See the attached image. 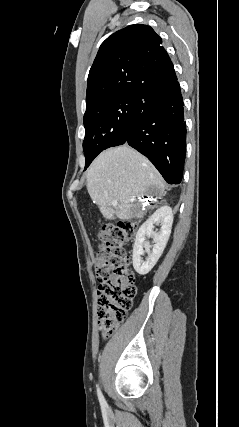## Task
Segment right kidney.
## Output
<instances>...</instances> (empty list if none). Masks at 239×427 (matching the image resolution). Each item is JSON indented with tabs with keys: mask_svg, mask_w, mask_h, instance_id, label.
Segmentation results:
<instances>
[{
	"mask_svg": "<svg viewBox=\"0 0 239 427\" xmlns=\"http://www.w3.org/2000/svg\"><path fill=\"white\" fill-rule=\"evenodd\" d=\"M172 223V209L169 206H162L139 228L133 246L132 260L135 271L140 275L149 273L162 255L171 234ZM154 224L161 225L159 232L153 231ZM147 237L153 238L152 251L149 250L150 246L146 243ZM145 253H148L149 256L143 260L142 256Z\"/></svg>",
	"mask_w": 239,
	"mask_h": 427,
	"instance_id": "1",
	"label": "right kidney"
}]
</instances>
